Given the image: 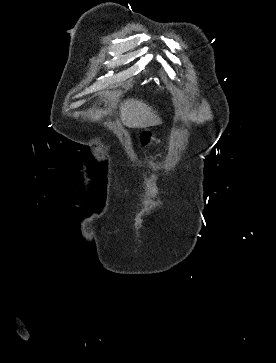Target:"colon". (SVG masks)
Returning <instances> with one entry per match:
<instances>
[{"mask_svg":"<svg viewBox=\"0 0 276 363\" xmlns=\"http://www.w3.org/2000/svg\"><path fill=\"white\" fill-rule=\"evenodd\" d=\"M149 138H150V135L148 133H144L143 139H144L145 143H147L149 141Z\"/></svg>","mask_w":276,"mask_h":363,"instance_id":"1","label":"colon"}]
</instances>
